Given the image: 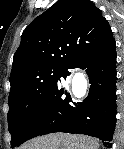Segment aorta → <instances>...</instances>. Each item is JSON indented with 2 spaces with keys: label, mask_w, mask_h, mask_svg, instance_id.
I'll return each mask as SVG.
<instances>
[{
  "label": "aorta",
  "mask_w": 124,
  "mask_h": 149,
  "mask_svg": "<svg viewBox=\"0 0 124 149\" xmlns=\"http://www.w3.org/2000/svg\"><path fill=\"white\" fill-rule=\"evenodd\" d=\"M76 83H82V79L79 75H77L75 78H74V87H75V84Z\"/></svg>",
  "instance_id": "1"
}]
</instances>
